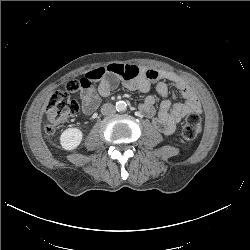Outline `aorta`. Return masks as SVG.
<instances>
[{"label":"aorta","mask_w":250,"mask_h":250,"mask_svg":"<svg viewBox=\"0 0 250 250\" xmlns=\"http://www.w3.org/2000/svg\"><path fill=\"white\" fill-rule=\"evenodd\" d=\"M127 109V104L124 101H118L116 103V110L117 111H125Z\"/></svg>","instance_id":"aorta-1"}]
</instances>
